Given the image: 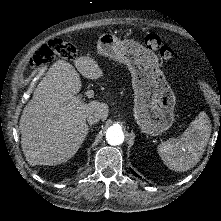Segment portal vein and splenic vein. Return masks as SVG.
<instances>
[{"instance_id":"1","label":"portal vein and splenic vein","mask_w":221,"mask_h":221,"mask_svg":"<svg viewBox=\"0 0 221 221\" xmlns=\"http://www.w3.org/2000/svg\"><path fill=\"white\" fill-rule=\"evenodd\" d=\"M75 98H78V99H79V97H75ZM172 136H173V138H175V139H176V138H178V136H179V135H178V133H176V132H175V133H173V135H172Z\"/></svg>"}]
</instances>
